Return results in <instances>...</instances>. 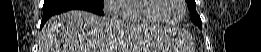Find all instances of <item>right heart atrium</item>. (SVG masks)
I'll return each mask as SVG.
<instances>
[{"label": "right heart atrium", "instance_id": "obj_1", "mask_svg": "<svg viewBox=\"0 0 261 52\" xmlns=\"http://www.w3.org/2000/svg\"><path fill=\"white\" fill-rule=\"evenodd\" d=\"M127 0H105L103 2V10L107 16L119 17L122 16L121 12L116 7Z\"/></svg>", "mask_w": 261, "mask_h": 52}]
</instances>
